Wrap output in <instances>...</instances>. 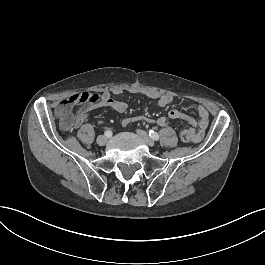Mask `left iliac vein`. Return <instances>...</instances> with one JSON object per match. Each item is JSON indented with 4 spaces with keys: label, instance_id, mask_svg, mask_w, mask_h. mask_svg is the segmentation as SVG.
<instances>
[{
    "label": "left iliac vein",
    "instance_id": "1",
    "mask_svg": "<svg viewBox=\"0 0 265 265\" xmlns=\"http://www.w3.org/2000/svg\"><path fill=\"white\" fill-rule=\"evenodd\" d=\"M137 133L149 147L154 146L155 144L154 141L149 137V135L146 132L142 130H137Z\"/></svg>",
    "mask_w": 265,
    "mask_h": 265
}]
</instances>
